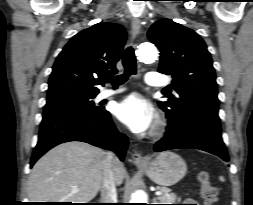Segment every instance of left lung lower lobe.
<instances>
[{
    "label": "left lung lower lobe",
    "instance_id": "left-lung-lower-lobe-1",
    "mask_svg": "<svg viewBox=\"0 0 253 205\" xmlns=\"http://www.w3.org/2000/svg\"><path fill=\"white\" fill-rule=\"evenodd\" d=\"M165 136L154 145L156 152L171 149L193 148L207 151L229 161L221 137L218 113L208 110L197 111L184 118L168 119Z\"/></svg>",
    "mask_w": 253,
    "mask_h": 205
}]
</instances>
